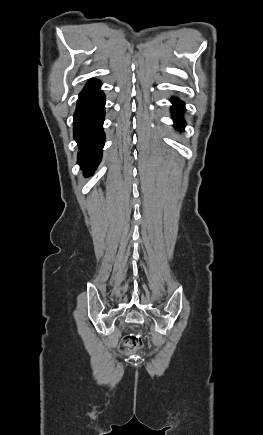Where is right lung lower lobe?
<instances>
[{
	"label": "right lung lower lobe",
	"mask_w": 263,
	"mask_h": 435,
	"mask_svg": "<svg viewBox=\"0 0 263 435\" xmlns=\"http://www.w3.org/2000/svg\"><path fill=\"white\" fill-rule=\"evenodd\" d=\"M99 81H90L79 95L74 113V138L79 145L78 163L91 176L101 161L105 141V96Z\"/></svg>",
	"instance_id": "right-lung-lower-lobe-1"
}]
</instances>
